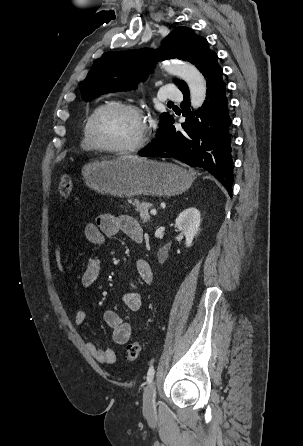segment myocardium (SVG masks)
Listing matches in <instances>:
<instances>
[{"label":"myocardium","mask_w":303,"mask_h":446,"mask_svg":"<svg viewBox=\"0 0 303 446\" xmlns=\"http://www.w3.org/2000/svg\"><path fill=\"white\" fill-rule=\"evenodd\" d=\"M108 110L127 111V112L135 114L142 121V123H143L142 132H141L139 138L135 142H133L129 145H126V146L116 147V146L104 145L98 141V139L95 136V132H94L95 122H96L97 118L103 112L108 111ZM86 131H87L88 140H89L90 144L95 149L103 151V152L119 153V154L131 153V152L140 150L141 148H143L146 145V143L149 140V136H150V129H149L148 123L145 118V113L140 107L133 105V104H129V103H121V102H114V101L98 106L91 113V115L89 116L88 122H87Z\"/></svg>","instance_id":"1"}]
</instances>
